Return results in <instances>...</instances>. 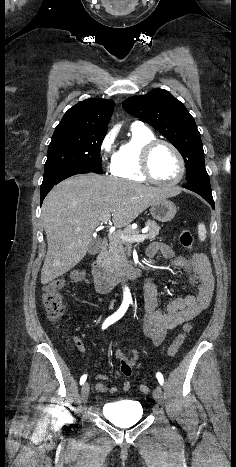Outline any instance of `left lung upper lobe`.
I'll return each mask as SVG.
<instances>
[{
    "label": "left lung upper lobe",
    "mask_w": 236,
    "mask_h": 467,
    "mask_svg": "<svg viewBox=\"0 0 236 467\" xmlns=\"http://www.w3.org/2000/svg\"><path fill=\"white\" fill-rule=\"evenodd\" d=\"M129 114L147 122L181 153L187 182L208 178L200 133L185 106L163 89L133 96L122 103Z\"/></svg>",
    "instance_id": "left-lung-upper-lobe-1"
}]
</instances>
